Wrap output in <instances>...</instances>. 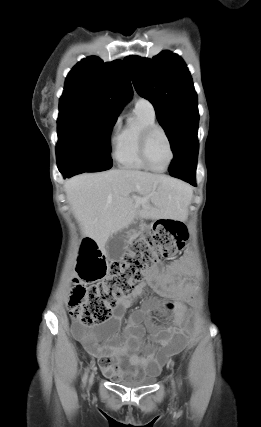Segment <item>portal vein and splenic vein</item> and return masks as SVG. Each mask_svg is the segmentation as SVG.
<instances>
[{
    "mask_svg": "<svg viewBox=\"0 0 261 427\" xmlns=\"http://www.w3.org/2000/svg\"><path fill=\"white\" fill-rule=\"evenodd\" d=\"M135 199H136V201H137V202H139V203H143V202H146V201H147V199H146V198H141V197H136Z\"/></svg>",
    "mask_w": 261,
    "mask_h": 427,
    "instance_id": "portal-vein-and-splenic-vein-1",
    "label": "portal vein and splenic vein"
}]
</instances>
